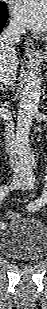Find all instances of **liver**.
<instances>
[{
  "mask_svg": "<svg viewBox=\"0 0 47 309\" xmlns=\"http://www.w3.org/2000/svg\"><path fill=\"white\" fill-rule=\"evenodd\" d=\"M12 64H13V66H14L15 70H16V69H17V67H18V64H19L18 58H17V59H15V60L12 62Z\"/></svg>",
  "mask_w": 47,
  "mask_h": 309,
  "instance_id": "1",
  "label": "liver"
}]
</instances>
